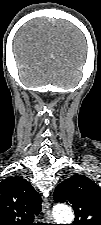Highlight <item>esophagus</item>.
I'll use <instances>...</instances> for the list:
<instances>
[{
	"mask_svg": "<svg viewBox=\"0 0 101 225\" xmlns=\"http://www.w3.org/2000/svg\"><path fill=\"white\" fill-rule=\"evenodd\" d=\"M42 212L44 214L45 220L48 223H53V218H52V215H51V212H50V204H49V201H48L47 198L43 199Z\"/></svg>",
	"mask_w": 101,
	"mask_h": 225,
	"instance_id": "1",
	"label": "esophagus"
}]
</instances>
